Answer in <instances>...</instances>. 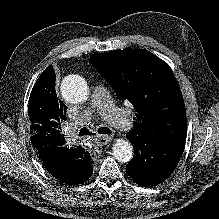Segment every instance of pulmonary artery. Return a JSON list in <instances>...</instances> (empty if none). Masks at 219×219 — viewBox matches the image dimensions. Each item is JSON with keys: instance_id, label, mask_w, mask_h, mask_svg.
Segmentation results:
<instances>
[{"instance_id": "pulmonary-artery-1", "label": "pulmonary artery", "mask_w": 219, "mask_h": 219, "mask_svg": "<svg viewBox=\"0 0 219 219\" xmlns=\"http://www.w3.org/2000/svg\"><path fill=\"white\" fill-rule=\"evenodd\" d=\"M91 108L98 110L103 119L116 128L126 131L131 127V120L128 115L119 109L112 101L108 90L102 84H96L91 95ZM92 115L91 109H86L80 115V120L87 122Z\"/></svg>"}]
</instances>
